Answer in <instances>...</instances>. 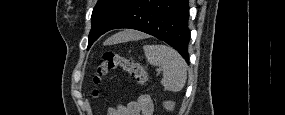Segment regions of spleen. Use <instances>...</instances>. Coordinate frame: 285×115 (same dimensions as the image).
Wrapping results in <instances>:
<instances>
[{
	"label": "spleen",
	"mask_w": 285,
	"mask_h": 115,
	"mask_svg": "<svg viewBox=\"0 0 285 115\" xmlns=\"http://www.w3.org/2000/svg\"><path fill=\"white\" fill-rule=\"evenodd\" d=\"M122 40H125L124 32L113 36V41ZM144 52L150 64L162 68L161 84L165 90L181 91L187 79V64L182 56L173 48L163 44L145 45Z\"/></svg>",
	"instance_id": "obj_1"
}]
</instances>
